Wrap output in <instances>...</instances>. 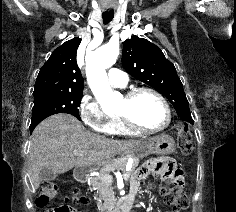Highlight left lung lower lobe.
Returning a JSON list of instances; mask_svg holds the SVG:
<instances>
[{"label":"left lung lower lobe","instance_id":"0a47b994","mask_svg":"<svg viewBox=\"0 0 236 212\" xmlns=\"http://www.w3.org/2000/svg\"><path fill=\"white\" fill-rule=\"evenodd\" d=\"M180 118H181L182 120H184V121H187V122L193 124V119H192V117H191L190 115H185V116L180 117Z\"/></svg>","mask_w":236,"mask_h":212}]
</instances>
